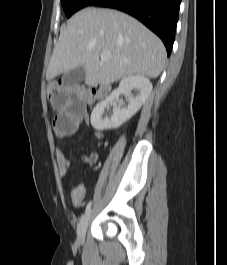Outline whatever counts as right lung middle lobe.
<instances>
[{
  "label": "right lung middle lobe",
  "instance_id": "dd1d6c3e",
  "mask_svg": "<svg viewBox=\"0 0 227 265\" xmlns=\"http://www.w3.org/2000/svg\"><path fill=\"white\" fill-rule=\"evenodd\" d=\"M92 1L93 0H61L67 17H70L79 9L88 6Z\"/></svg>",
  "mask_w": 227,
  "mask_h": 265
}]
</instances>
